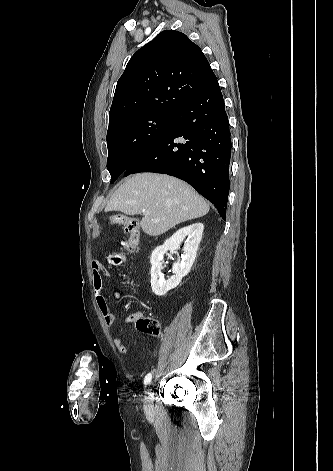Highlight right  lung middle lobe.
I'll return each instance as SVG.
<instances>
[{
	"label": "right lung middle lobe",
	"instance_id": "dd1d6c3e",
	"mask_svg": "<svg viewBox=\"0 0 333 471\" xmlns=\"http://www.w3.org/2000/svg\"><path fill=\"white\" fill-rule=\"evenodd\" d=\"M175 113L144 111L112 122L107 131V169L111 182L152 144L172 123Z\"/></svg>",
	"mask_w": 333,
	"mask_h": 471
}]
</instances>
